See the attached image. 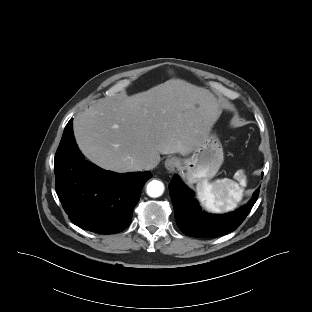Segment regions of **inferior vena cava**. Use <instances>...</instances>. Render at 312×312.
Instances as JSON below:
<instances>
[{
    "instance_id": "inferior-vena-cava-1",
    "label": "inferior vena cava",
    "mask_w": 312,
    "mask_h": 312,
    "mask_svg": "<svg viewBox=\"0 0 312 312\" xmlns=\"http://www.w3.org/2000/svg\"><path fill=\"white\" fill-rule=\"evenodd\" d=\"M157 164L158 162L156 160H153V159L146 160L143 163V169L152 170L157 166Z\"/></svg>"
}]
</instances>
